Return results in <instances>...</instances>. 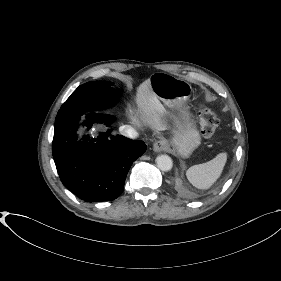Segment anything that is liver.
I'll return each mask as SVG.
<instances>
[{"mask_svg":"<svg viewBox=\"0 0 281 281\" xmlns=\"http://www.w3.org/2000/svg\"><path fill=\"white\" fill-rule=\"evenodd\" d=\"M137 102L149 114L152 120L158 124V114L161 112V104L153 92L150 81L146 80L137 89ZM160 130L162 127L157 126Z\"/></svg>","mask_w":281,"mask_h":281,"instance_id":"obj_1","label":"liver"}]
</instances>
